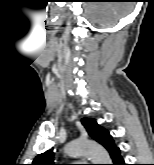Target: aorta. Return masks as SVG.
<instances>
[{"mask_svg":"<svg viewBox=\"0 0 154 165\" xmlns=\"http://www.w3.org/2000/svg\"><path fill=\"white\" fill-rule=\"evenodd\" d=\"M70 157L89 156L93 164H111L108 152L99 144L90 141H73L65 147Z\"/></svg>","mask_w":154,"mask_h":165,"instance_id":"aorta-1","label":"aorta"}]
</instances>
